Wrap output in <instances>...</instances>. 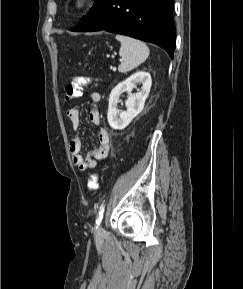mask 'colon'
<instances>
[{"instance_id": "obj_1", "label": "colon", "mask_w": 243, "mask_h": 289, "mask_svg": "<svg viewBox=\"0 0 243 289\" xmlns=\"http://www.w3.org/2000/svg\"><path fill=\"white\" fill-rule=\"evenodd\" d=\"M90 80L85 77H75L72 82L65 86L64 97L66 101H72L82 94L83 87L89 84ZM87 188L93 192L98 188V175L92 174L87 182Z\"/></svg>"}]
</instances>
